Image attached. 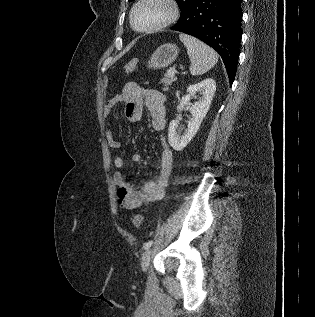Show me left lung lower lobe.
<instances>
[{
  "mask_svg": "<svg viewBox=\"0 0 315 317\" xmlns=\"http://www.w3.org/2000/svg\"><path fill=\"white\" fill-rule=\"evenodd\" d=\"M242 0H193L171 28L192 35L215 49L233 83L242 37Z\"/></svg>",
  "mask_w": 315,
  "mask_h": 317,
  "instance_id": "0a47b994",
  "label": "left lung lower lobe"
}]
</instances>
